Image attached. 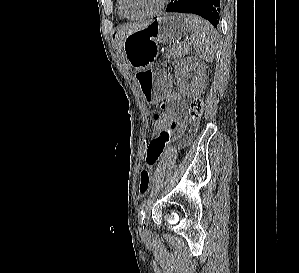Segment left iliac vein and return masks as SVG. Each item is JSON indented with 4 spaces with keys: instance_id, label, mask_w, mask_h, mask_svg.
<instances>
[{
    "instance_id": "4c4485c4",
    "label": "left iliac vein",
    "mask_w": 299,
    "mask_h": 273,
    "mask_svg": "<svg viewBox=\"0 0 299 273\" xmlns=\"http://www.w3.org/2000/svg\"><path fill=\"white\" fill-rule=\"evenodd\" d=\"M143 223L141 222V220H139V231L142 236H144L146 234V229L142 227Z\"/></svg>"
}]
</instances>
